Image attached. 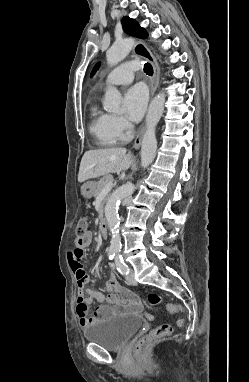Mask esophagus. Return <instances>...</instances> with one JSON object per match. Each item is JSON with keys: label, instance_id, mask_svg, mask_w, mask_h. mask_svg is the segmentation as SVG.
<instances>
[{"label": "esophagus", "instance_id": "esophagus-1", "mask_svg": "<svg viewBox=\"0 0 249 382\" xmlns=\"http://www.w3.org/2000/svg\"><path fill=\"white\" fill-rule=\"evenodd\" d=\"M133 51L135 54L148 60L153 67V76L151 77V81H150V96L152 98L159 84L160 67L158 65V62L156 58L154 57V55L152 54V52L148 49V47L142 41L136 42V44L133 47ZM144 129H145V125H142L135 138L133 148L138 149L140 147Z\"/></svg>", "mask_w": 249, "mask_h": 382}]
</instances>
